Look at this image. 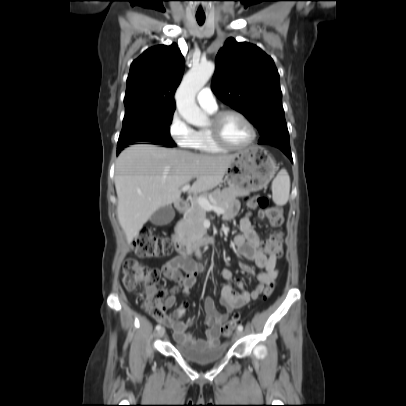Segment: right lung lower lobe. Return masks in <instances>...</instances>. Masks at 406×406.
<instances>
[{"label": "right lung lower lobe", "instance_id": "obj_1", "mask_svg": "<svg viewBox=\"0 0 406 406\" xmlns=\"http://www.w3.org/2000/svg\"><path fill=\"white\" fill-rule=\"evenodd\" d=\"M122 150H123V149H122ZM120 151H121V150H118V151H117V154H119V153H120Z\"/></svg>", "mask_w": 406, "mask_h": 406}]
</instances>
